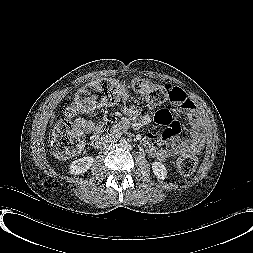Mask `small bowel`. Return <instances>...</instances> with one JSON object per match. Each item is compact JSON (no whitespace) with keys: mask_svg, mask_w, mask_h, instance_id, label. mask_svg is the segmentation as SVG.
Here are the masks:
<instances>
[{"mask_svg":"<svg viewBox=\"0 0 253 253\" xmlns=\"http://www.w3.org/2000/svg\"><path fill=\"white\" fill-rule=\"evenodd\" d=\"M172 88L175 93L173 103L177 105L178 111L185 115L190 122L191 138L188 141L177 139L176 136L180 131L179 123L174 120L170 110H160L156 120L159 124L165 125L166 128L160 134L147 133L144 137V145L149 156L162 162L186 155H196L201 151L204 143V134L194 102L182 89ZM124 112L135 116L137 109L135 107L125 108ZM146 119L148 120L149 117H146ZM76 125L91 135L90 143L95 147L101 146L108 139V135L104 134L103 125L100 122L79 118Z\"/></svg>","mask_w":253,"mask_h":253,"instance_id":"obj_1","label":"small bowel"}]
</instances>
